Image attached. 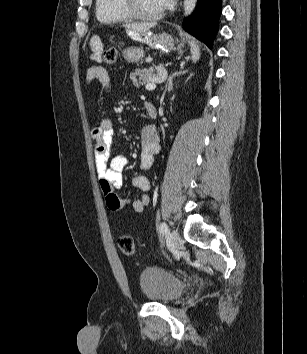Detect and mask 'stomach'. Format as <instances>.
<instances>
[{"mask_svg": "<svg viewBox=\"0 0 307 354\" xmlns=\"http://www.w3.org/2000/svg\"><path fill=\"white\" fill-rule=\"evenodd\" d=\"M132 39L145 43L155 49H161L163 51L177 50L180 53L182 52V45L176 46L171 35L165 32L159 34H151L149 32L138 33V37ZM144 56V51L138 47H128L123 51V57L128 62H139Z\"/></svg>", "mask_w": 307, "mask_h": 354, "instance_id": "stomach-1", "label": "stomach"}]
</instances>
